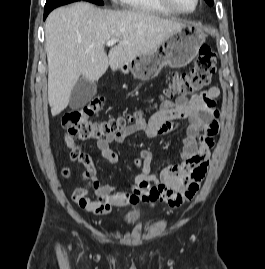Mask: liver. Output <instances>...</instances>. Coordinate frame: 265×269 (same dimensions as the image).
<instances>
[{
	"mask_svg": "<svg viewBox=\"0 0 265 269\" xmlns=\"http://www.w3.org/2000/svg\"><path fill=\"white\" fill-rule=\"evenodd\" d=\"M186 24L142 11L99 9L77 2L52 11L45 22L48 61V102L52 116L69 104L80 77L97 81L133 58L149 53ZM119 43L107 56V41Z\"/></svg>",
	"mask_w": 265,
	"mask_h": 269,
	"instance_id": "obj_1",
	"label": "liver"
}]
</instances>
